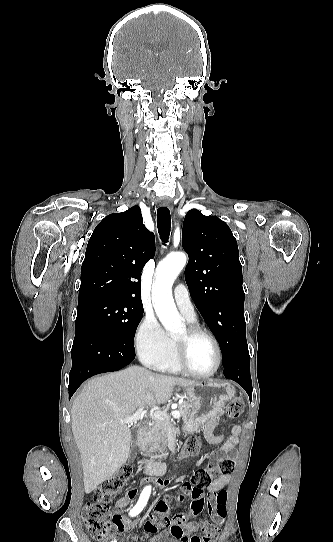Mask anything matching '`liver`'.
I'll list each match as a JSON object with an SVG mask.
<instances>
[{
	"instance_id": "1",
	"label": "liver",
	"mask_w": 333,
	"mask_h": 542,
	"mask_svg": "<svg viewBox=\"0 0 333 542\" xmlns=\"http://www.w3.org/2000/svg\"><path fill=\"white\" fill-rule=\"evenodd\" d=\"M194 380L152 374L130 366L91 378L71 408V428L81 456L85 494L109 480L126 464L131 430L120 420L137 408H158L168 402L175 386H196Z\"/></svg>"
}]
</instances>
